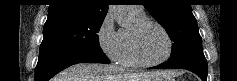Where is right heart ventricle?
Segmentation results:
<instances>
[{
    "label": "right heart ventricle",
    "mask_w": 237,
    "mask_h": 81,
    "mask_svg": "<svg viewBox=\"0 0 237 81\" xmlns=\"http://www.w3.org/2000/svg\"><path fill=\"white\" fill-rule=\"evenodd\" d=\"M128 15L133 25L146 20L145 13L139 14V13L129 11ZM119 36H120V41H121V55H120L119 62L123 66L136 67L138 64L134 61L131 55L130 46H129V39H128L129 30H120Z\"/></svg>",
    "instance_id": "obj_1"
}]
</instances>
